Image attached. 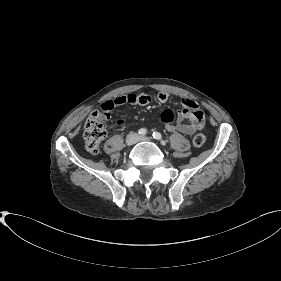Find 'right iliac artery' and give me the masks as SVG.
I'll list each match as a JSON object with an SVG mask.
<instances>
[{"mask_svg":"<svg viewBox=\"0 0 281 281\" xmlns=\"http://www.w3.org/2000/svg\"><path fill=\"white\" fill-rule=\"evenodd\" d=\"M138 133H139L140 136H144V135L147 134V130L144 129V128H141V129L138 131Z\"/></svg>","mask_w":281,"mask_h":281,"instance_id":"obj_1","label":"right iliac artery"}]
</instances>
